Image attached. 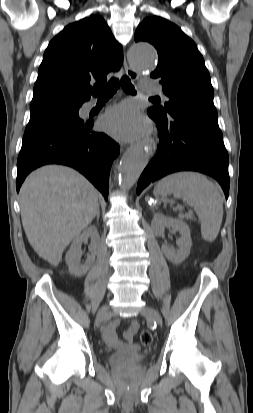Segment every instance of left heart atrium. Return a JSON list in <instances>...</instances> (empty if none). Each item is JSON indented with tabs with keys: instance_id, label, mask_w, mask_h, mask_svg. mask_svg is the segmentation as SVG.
Masks as SVG:
<instances>
[{
	"instance_id": "obj_1",
	"label": "left heart atrium",
	"mask_w": 253,
	"mask_h": 413,
	"mask_svg": "<svg viewBox=\"0 0 253 413\" xmlns=\"http://www.w3.org/2000/svg\"><path fill=\"white\" fill-rule=\"evenodd\" d=\"M101 127L122 140L135 139L149 130L147 120L136 106L120 104L110 109L101 119Z\"/></svg>"
}]
</instances>
